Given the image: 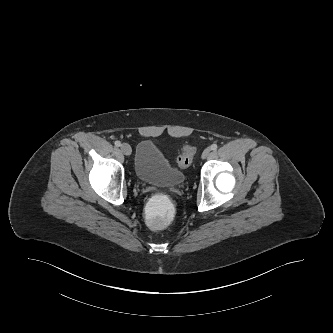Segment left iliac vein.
Segmentation results:
<instances>
[{"label": "left iliac vein", "mask_w": 333, "mask_h": 333, "mask_svg": "<svg viewBox=\"0 0 333 333\" xmlns=\"http://www.w3.org/2000/svg\"><path fill=\"white\" fill-rule=\"evenodd\" d=\"M210 153H211L210 148H206V149L204 150V152L202 153V158H203V159L207 158V157L210 155Z\"/></svg>", "instance_id": "obj_1"}]
</instances>
